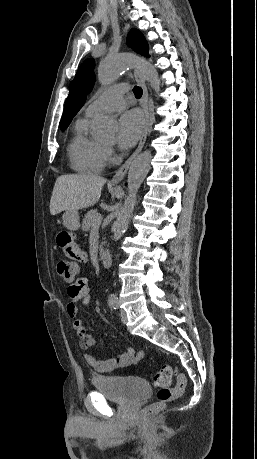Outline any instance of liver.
Returning <instances> with one entry per match:
<instances>
[{"label":"liver","instance_id":"liver-1","mask_svg":"<svg viewBox=\"0 0 257 459\" xmlns=\"http://www.w3.org/2000/svg\"><path fill=\"white\" fill-rule=\"evenodd\" d=\"M105 183V178L94 174H69L58 177L50 200L51 215L93 206L100 199Z\"/></svg>","mask_w":257,"mask_h":459}]
</instances>
